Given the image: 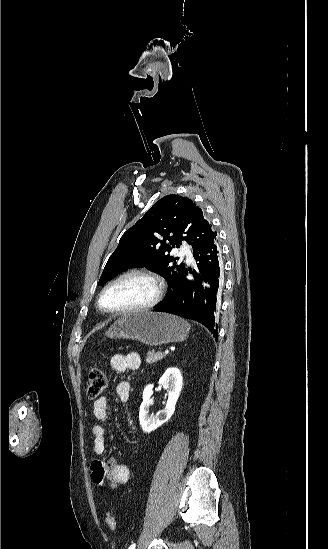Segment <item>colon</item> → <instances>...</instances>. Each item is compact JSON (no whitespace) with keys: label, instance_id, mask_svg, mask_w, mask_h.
Masks as SVG:
<instances>
[{"label":"colon","instance_id":"1","mask_svg":"<svg viewBox=\"0 0 328 549\" xmlns=\"http://www.w3.org/2000/svg\"><path fill=\"white\" fill-rule=\"evenodd\" d=\"M106 387V377L104 372L97 366L94 365L88 375L87 383V396L89 399H98V397L103 393ZM105 523L110 529L116 528V517L112 510H108L105 515Z\"/></svg>","mask_w":328,"mask_h":549}]
</instances>
